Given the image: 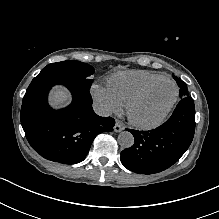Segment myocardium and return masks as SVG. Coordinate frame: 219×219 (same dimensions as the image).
<instances>
[{
    "label": "myocardium",
    "instance_id": "1",
    "mask_svg": "<svg viewBox=\"0 0 219 219\" xmlns=\"http://www.w3.org/2000/svg\"><path fill=\"white\" fill-rule=\"evenodd\" d=\"M162 81H169L173 84V86H174L173 98L170 100V102L164 107V109L161 111V113L155 119L141 120V119L136 118L134 116L135 108L145 99V97L152 91V89L158 83H160ZM178 93H179L178 87H177L175 81H173L172 79L167 78V77H162V78L155 80L154 82H152L151 84L146 86L143 90H141L137 95H135L132 98V100L129 102V104L127 105V109H126V115H127L128 120L130 121V123L132 125L140 127V128L149 129V128H154V127L158 126L159 124H161L165 120L168 113L170 112V110L174 106V104L178 98Z\"/></svg>",
    "mask_w": 219,
    "mask_h": 219
}]
</instances>
